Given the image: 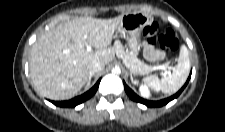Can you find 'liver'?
I'll return each instance as SVG.
<instances>
[{"label":"liver","mask_w":225,"mask_h":132,"mask_svg":"<svg viewBox=\"0 0 225 132\" xmlns=\"http://www.w3.org/2000/svg\"><path fill=\"white\" fill-rule=\"evenodd\" d=\"M123 16L74 18L43 33L30 52V75L37 91L51 100L76 95L88 80L93 60L106 65L114 59L111 42ZM87 45L96 50L87 51Z\"/></svg>","instance_id":"6515ba94"}]
</instances>
